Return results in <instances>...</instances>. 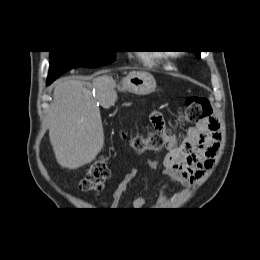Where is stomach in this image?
I'll list each match as a JSON object with an SVG mask.
<instances>
[{
  "label": "stomach",
  "instance_id": "0dacf381",
  "mask_svg": "<svg viewBox=\"0 0 260 260\" xmlns=\"http://www.w3.org/2000/svg\"><path fill=\"white\" fill-rule=\"evenodd\" d=\"M156 89V81L154 77L146 72L137 74L130 73L123 81L119 90L128 91L135 95H148Z\"/></svg>",
  "mask_w": 260,
  "mask_h": 260
}]
</instances>
